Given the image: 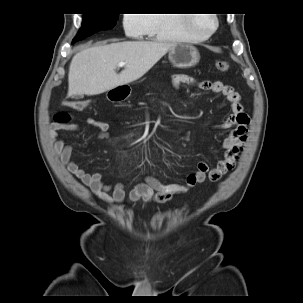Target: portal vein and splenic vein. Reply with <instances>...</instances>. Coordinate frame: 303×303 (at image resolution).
<instances>
[{
    "instance_id": "portal-vein-and-splenic-vein-1",
    "label": "portal vein and splenic vein",
    "mask_w": 303,
    "mask_h": 303,
    "mask_svg": "<svg viewBox=\"0 0 303 303\" xmlns=\"http://www.w3.org/2000/svg\"><path fill=\"white\" fill-rule=\"evenodd\" d=\"M125 66H126V63H124V62H121L118 64V67H125Z\"/></svg>"
}]
</instances>
